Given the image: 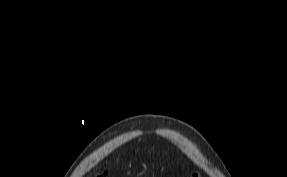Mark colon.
<instances>
[{
    "instance_id": "obj_1",
    "label": "colon",
    "mask_w": 287,
    "mask_h": 177,
    "mask_svg": "<svg viewBox=\"0 0 287 177\" xmlns=\"http://www.w3.org/2000/svg\"><path fill=\"white\" fill-rule=\"evenodd\" d=\"M189 177H198V175L197 174H192Z\"/></svg>"
}]
</instances>
